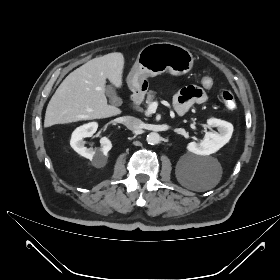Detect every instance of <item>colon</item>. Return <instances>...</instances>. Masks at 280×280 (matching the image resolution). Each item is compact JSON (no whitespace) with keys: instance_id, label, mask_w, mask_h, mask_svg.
Returning <instances> with one entry per match:
<instances>
[{"instance_id":"5ec220e1","label":"colon","mask_w":280,"mask_h":280,"mask_svg":"<svg viewBox=\"0 0 280 280\" xmlns=\"http://www.w3.org/2000/svg\"><path fill=\"white\" fill-rule=\"evenodd\" d=\"M199 85L202 89L204 90H209L213 87L214 82L211 78L209 77H204L200 80ZM221 99L224 105L230 109L233 110L236 107V101L234 95L228 91V90H223L221 92Z\"/></svg>"}]
</instances>
